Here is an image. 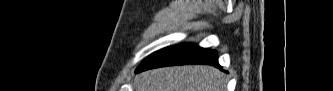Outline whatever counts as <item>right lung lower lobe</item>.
Returning a JSON list of instances; mask_svg holds the SVG:
<instances>
[{
  "mask_svg": "<svg viewBox=\"0 0 333 91\" xmlns=\"http://www.w3.org/2000/svg\"><path fill=\"white\" fill-rule=\"evenodd\" d=\"M184 64H208L220 67L216 51L183 43L151 54L140 64L136 72L156 67Z\"/></svg>",
  "mask_w": 333,
  "mask_h": 91,
  "instance_id": "obj_1",
  "label": "right lung lower lobe"
}]
</instances>
